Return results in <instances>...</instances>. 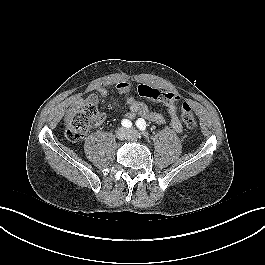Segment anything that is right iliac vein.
I'll use <instances>...</instances> for the list:
<instances>
[{
	"label": "right iliac vein",
	"instance_id": "right-iliac-vein-1",
	"mask_svg": "<svg viewBox=\"0 0 265 265\" xmlns=\"http://www.w3.org/2000/svg\"><path fill=\"white\" fill-rule=\"evenodd\" d=\"M117 137L119 139H123L127 136V131L124 129V128H120L118 131H117Z\"/></svg>",
	"mask_w": 265,
	"mask_h": 265
}]
</instances>
